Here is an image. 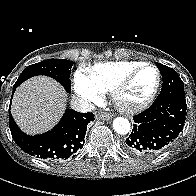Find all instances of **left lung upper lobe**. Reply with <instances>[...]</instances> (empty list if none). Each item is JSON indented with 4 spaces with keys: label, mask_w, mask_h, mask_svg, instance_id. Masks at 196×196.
I'll return each mask as SVG.
<instances>
[{
    "label": "left lung upper lobe",
    "mask_w": 196,
    "mask_h": 196,
    "mask_svg": "<svg viewBox=\"0 0 196 196\" xmlns=\"http://www.w3.org/2000/svg\"><path fill=\"white\" fill-rule=\"evenodd\" d=\"M157 67L161 74H171L172 78H167V81H163L162 89L158 97H168V96H185L183 82L180 79L177 72L163 64L156 62Z\"/></svg>",
    "instance_id": "obj_1"
}]
</instances>
